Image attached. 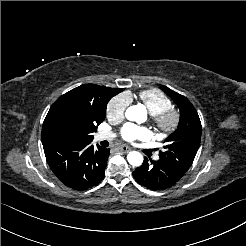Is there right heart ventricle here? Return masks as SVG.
Here are the masks:
<instances>
[{"mask_svg":"<svg viewBox=\"0 0 246 246\" xmlns=\"http://www.w3.org/2000/svg\"><path fill=\"white\" fill-rule=\"evenodd\" d=\"M138 99L151 115L158 114L172 107V100L170 97L158 88H149L140 91Z\"/></svg>","mask_w":246,"mask_h":246,"instance_id":"1","label":"right heart ventricle"}]
</instances>
